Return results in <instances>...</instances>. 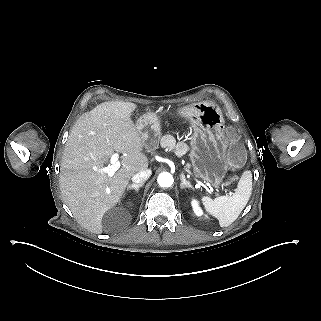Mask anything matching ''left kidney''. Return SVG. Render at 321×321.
I'll use <instances>...</instances> for the list:
<instances>
[{
    "label": "left kidney",
    "mask_w": 321,
    "mask_h": 321,
    "mask_svg": "<svg viewBox=\"0 0 321 321\" xmlns=\"http://www.w3.org/2000/svg\"><path fill=\"white\" fill-rule=\"evenodd\" d=\"M191 205L193 208L194 213L197 216H202L203 215V210L201 209V207L199 206V202L196 199H192L191 201Z\"/></svg>",
    "instance_id": "left-kidney-1"
}]
</instances>
